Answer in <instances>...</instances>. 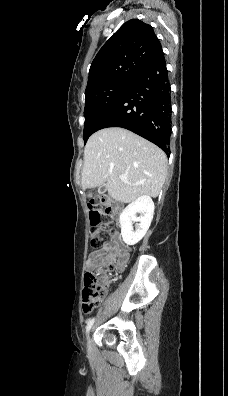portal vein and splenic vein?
Segmentation results:
<instances>
[{"mask_svg": "<svg viewBox=\"0 0 228 396\" xmlns=\"http://www.w3.org/2000/svg\"><path fill=\"white\" fill-rule=\"evenodd\" d=\"M119 179L125 182L127 181V177L125 175H120Z\"/></svg>", "mask_w": 228, "mask_h": 396, "instance_id": "18ae733b", "label": "portal vein and splenic vein"}]
</instances>
